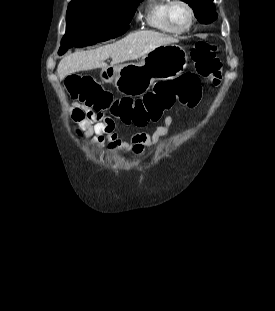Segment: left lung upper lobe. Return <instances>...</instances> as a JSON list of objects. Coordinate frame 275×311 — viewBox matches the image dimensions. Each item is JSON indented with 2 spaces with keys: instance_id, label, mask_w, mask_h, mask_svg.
<instances>
[{
  "instance_id": "5c2ea615",
  "label": "left lung upper lobe",
  "mask_w": 275,
  "mask_h": 311,
  "mask_svg": "<svg viewBox=\"0 0 275 311\" xmlns=\"http://www.w3.org/2000/svg\"><path fill=\"white\" fill-rule=\"evenodd\" d=\"M194 10L195 17L203 24H208L217 18L213 0H182Z\"/></svg>"
}]
</instances>
